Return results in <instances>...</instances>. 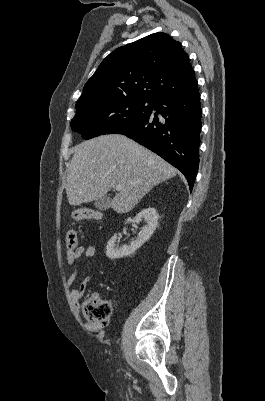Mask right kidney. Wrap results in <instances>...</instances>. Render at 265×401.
<instances>
[{"label":"right kidney","mask_w":265,"mask_h":401,"mask_svg":"<svg viewBox=\"0 0 265 401\" xmlns=\"http://www.w3.org/2000/svg\"><path fill=\"white\" fill-rule=\"evenodd\" d=\"M146 221L147 225L141 229L140 233H138L137 239L135 241H130V245H122V247H116V239L117 235H113L111 239H109L106 247V255L108 259H121V257H129V255H133L139 247H142L148 239H150L151 235H153L154 231H156L158 227V213L156 209L153 207H149V209H143L141 213H138L134 219L128 217L126 219V223H140V221Z\"/></svg>","instance_id":"right-kidney-1"}]
</instances>
